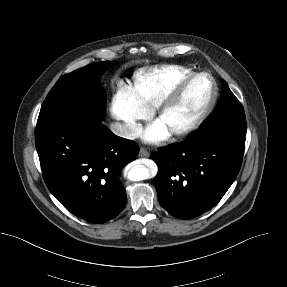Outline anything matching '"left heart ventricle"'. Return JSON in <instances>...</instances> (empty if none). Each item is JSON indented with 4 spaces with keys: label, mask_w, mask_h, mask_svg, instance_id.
I'll use <instances>...</instances> for the list:
<instances>
[{
    "label": "left heart ventricle",
    "mask_w": 287,
    "mask_h": 287,
    "mask_svg": "<svg viewBox=\"0 0 287 287\" xmlns=\"http://www.w3.org/2000/svg\"><path fill=\"white\" fill-rule=\"evenodd\" d=\"M211 92L207 78L193 81L183 92L177 103L158 121L168 131L191 120L206 104Z\"/></svg>",
    "instance_id": "1"
}]
</instances>
